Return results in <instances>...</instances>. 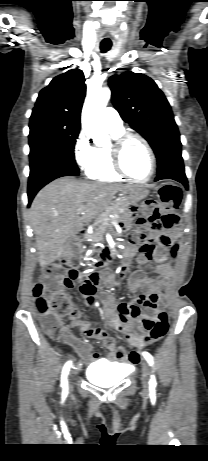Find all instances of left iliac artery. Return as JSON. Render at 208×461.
Instances as JSON below:
<instances>
[{
	"instance_id": "1",
	"label": "left iliac artery",
	"mask_w": 208,
	"mask_h": 461,
	"mask_svg": "<svg viewBox=\"0 0 208 461\" xmlns=\"http://www.w3.org/2000/svg\"><path fill=\"white\" fill-rule=\"evenodd\" d=\"M144 358L148 361V363L152 366L153 365V357L148 352H143ZM150 385H156V380L154 375L151 376Z\"/></svg>"
}]
</instances>
